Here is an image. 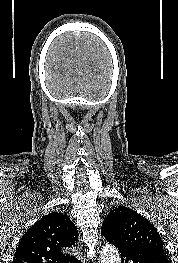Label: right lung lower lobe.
I'll return each mask as SVG.
<instances>
[{
    "label": "right lung lower lobe",
    "instance_id": "right-lung-lower-lobe-1",
    "mask_svg": "<svg viewBox=\"0 0 178 263\" xmlns=\"http://www.w3.org/2000/svg\"><path fill=\"white\" fill-rule=\"evenodd\" d=\"M75 263H80V261L77 259L76 261H74Z\"/></svg>",
    "mask_w": 178,
    "mask_h": 263
}]
</instances>
